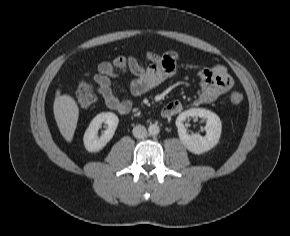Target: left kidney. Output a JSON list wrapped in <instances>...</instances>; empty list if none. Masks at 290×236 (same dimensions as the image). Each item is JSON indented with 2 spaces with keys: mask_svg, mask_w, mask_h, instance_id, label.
I'll use <instances>...</instances> for the list:
<instances>
[{
  "mask_svg": "<svg viewBox=\"0 0 290 236\" xmlns=\"http://www.w3.org/2000/svg\"><path fill=\"white\" fill-rule=\"evenodd\" d=\"M194 117L206 119L205 137L198 133L192 135L187 133L184 122L186 119ZM176 126L180 141L194 154H202L211 150L218 143L222 131L220 118L215 113L201 108L189 109L179 114Z\"/></svg>",
  "mask_w": 290,
  "mask_h": 236,
  "instance_id": "left-kidney-1",
  "label": "left kidney"
}]
</instances>
